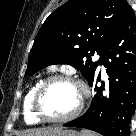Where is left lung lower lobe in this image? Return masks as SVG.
I'll return each instance as SVG.
<instances>
[{"label": "left lung lower lobe", "instance_id": "0a47b994", "mask_svg": "<svg viewBox=\"0 0 136 136\" xmlns=\"http://www.w3.org/2000/svg\"><path fill=\"white\" fill-rule=\"evenodd\" d=\"M101 64L108 83L98 87L100 78L94 74L89 81L95 92L90 108L64 126L93 130L103 136H129L136 107V18L132 8L103 50Z\"/></svg>", "mask_w": 136, "mask_h": 136}]
</instances>
